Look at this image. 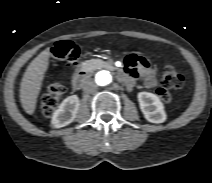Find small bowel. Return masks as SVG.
<instances>
[{
  "instance_id": "c3829d8e",
  "label": "small bowel",
  "mask_w": 212,
  "mask_h": 183,
  "mask_svg": "<svg viewBox=\"0 0 212 183\" xmlns=\"http://www.w3.org/2000/svg\"><path fill=\"white\" fill-rule=\"evenodd\" d=\"M121 79L128 89H133L137 79H140L145 87L153 88L158 83L157 69L146 58L131 54L125 60Z\"/></svg>"
}]
</instances>
